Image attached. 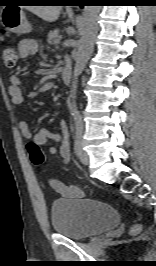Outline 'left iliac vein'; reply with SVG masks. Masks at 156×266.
<instances>
[{"mask_svg": "<svg viewBox=\"0 0 156 266\" xmlns=\"http://www.w3.org/2000/svg\"><path fill=\"white\" fill-rule=\"evenodd\" d=\"M78 154H79V159H80L81 163L84 164V165H88L89 162H90V158H89V155L87 154V152L84 151L80 147Z\"/></svg>", "mask_w": 156, "mask_h": 266, "instance_id": "4c4485c4", "label": "left iliac vein"}]
</instances>
